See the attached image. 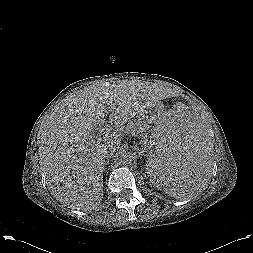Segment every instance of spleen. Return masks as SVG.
<instances>
[{
    "label": "spleen",
    "instance_id": "spleen-1",
    "mask_svg": "<svg viewBox=\"0 0 253 253\" xmlns=\"http://www.w3.org/2000/svg\"><path fill=\"white\" fill-rule=\"evenodd\" d=\"M147 179L176 198L196 195L211 168L209 141L198 118L176 109L158 116L146 143Z\"/></svg>",
    "mask_w": 253,
    "mask_h": 253
}]
</instances>
